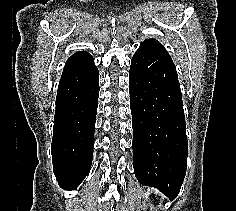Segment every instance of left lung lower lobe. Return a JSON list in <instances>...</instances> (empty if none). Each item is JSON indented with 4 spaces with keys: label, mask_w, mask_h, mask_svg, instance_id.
Masks as SVG:
<instances>
[{
    "label": "left lung lower lobe",
    "mask_w": 236,
    "mask_h": 211,
    "mask_svg": "<svg viewBox=\"0 0 236 211\" xmlns=\"http://www.w3.org/2000/svg\"><path fill=\"white\" fill-rule=\"evenodd\" d=\"M129 92L135 176L174 199L186 173L188 142L180 84L170 55L140 45L131 60Z\"/></svg>",
    "instance_id": "left-lung-lower-lobe-1"
}]
</instances>
